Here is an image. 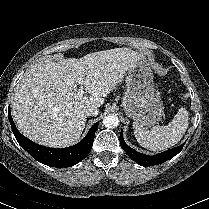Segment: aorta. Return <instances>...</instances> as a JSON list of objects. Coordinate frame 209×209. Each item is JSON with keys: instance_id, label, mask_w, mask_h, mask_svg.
I'll return each mask as SVG.
<instances>
[{"instance_id": "aorta-1", "label": "aorta", "mask_w": 209, "mask_h": 209, "mask_svg": "<svg viewBox=\"0 0 209 209\" xmlns=\"http://www.w3.org/2000/svg\"><path fill=\"white\" fill-rule=\"evenodd\" d=\"M119 124V118L116 114H109L103 118V125L106 128H115Z\"/></svg>"}]
</instances>
